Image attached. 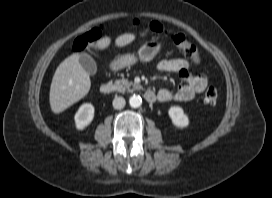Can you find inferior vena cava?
Segmentation results:
<instances>
[{
	"mask_svg": "<svg viewBox=\"0 0 272 198\" xmlns=\"http://www.w3.org/2000/svg\"><path fill=\"white\" fill-rule=\"evenodd\" d=\"M112 104L115 109H122L126 102L123 97H115Z\"/></svg>",
	"mask_w": 272,
	"mask_h": 198,
	"instance_id": "602c4592",
	"label": "inferior vena cava"
}]
</instances>
